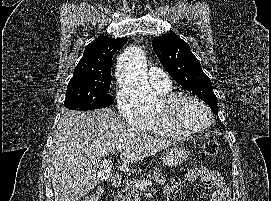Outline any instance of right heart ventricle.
I'll return each instance as SVG.
<instances>
[{"instance_id":"obj_1","label":"right heart ventricle","mask_w":271,"mask_h":201,"mask_svg":"<svg viewBox=\"0 0 271 201\" xmlns=\"http://www.w3.org/2000/svg\"><path fill=\"white\" fill-rule=\"evenodd\" d=\"M160 93L162 95L170 93V89H163L160 90ZM148 123L145 127L142 129L152 135L159 136V137H167V138H182L187 136V134L178 133L172 129H170L168 126L163 124L161 120L155 115L148 117Z\"/></svg>"}]
</instances>
